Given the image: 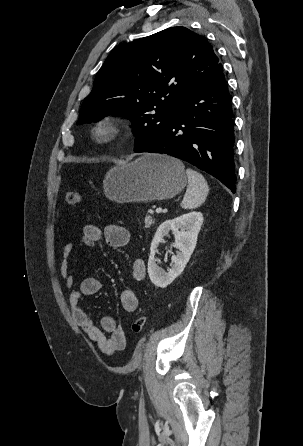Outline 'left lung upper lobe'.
<instances>
[{"label":"left lung upper lobe","mask_w":303,"mask_h":446,"mask_svg":"<svg viewBox=\"0 0 303 446\" xmlns=\"http://www.w3.org/2000/svg\"><path fill=\"white\" fill-rule=\"evenodd\" d=\"M218 63L208 41L185 27L121 44L98 71L77 125L123 116L133 123L136 151L161 134L176 106Z\"/></svg>","instance_id":"1"}]
</instances>
